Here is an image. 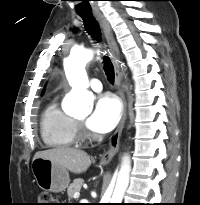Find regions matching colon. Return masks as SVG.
<instances>
[{
  "label": "colon",
  "mask_w": 200,
  "mask_h": 205,
  "mask_svg": "<svg viewBox=\"0 0 200 205\" xmlns=\"http://www.w3.org/2000/svg\"><path fill=\"white\" fill-rule=\"evenodd\" d=\"M37 205H54L52 196L49 193H41Z\"/></svg>",
  "instance_id": "1"
}]
</instances>
